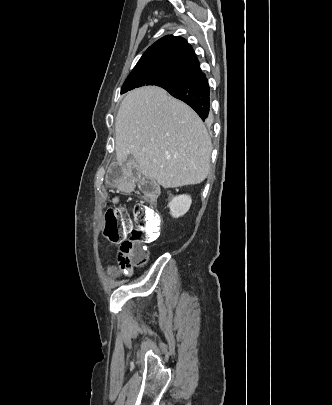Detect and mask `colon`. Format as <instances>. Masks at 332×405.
<instances>
[{
  "label": "colon",
  "instance_id": "1",
  "mask_svg": "<svg viewBox=\"0 0 332 405\" xmlns=\"http://www.w3.org/2000/svg\"><path fill=\"white\" fill-rule=\"evenodd\" d=\"M141 181L143 194L155 198L157 186L146 178ZM160 229L159 214L144 203H135L130 211L122 206L109 209L103 234L110 242L119 243L118 264L122 270L129 271L146 262L148 254L144 244L155 241Z\"/></svg>",
  "mask_w": 332,
  "mask_h": 405
}]
</instances>
